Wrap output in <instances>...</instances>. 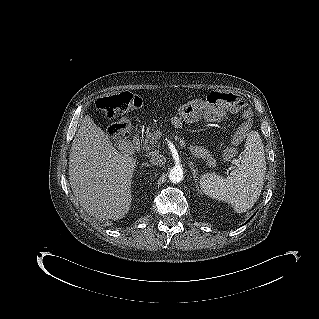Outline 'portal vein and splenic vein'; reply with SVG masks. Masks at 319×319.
<instances>
[{
  "instance_id": "obj_1",
  "label": "portal vein and splenic vein",
  "mask_w": 319,
  "mask_h": 319,
  "mask_svg": "<svg viewBox=\"0 0 319 319\" xmlns=\"http://www.w3.org/2000/svg\"><path fill=\"white\" fill-rule=\"evenodd\" d=\"M179 143H180L181 146H184V141L183 140H180Z\"/></svg>"
}]
</instances>
